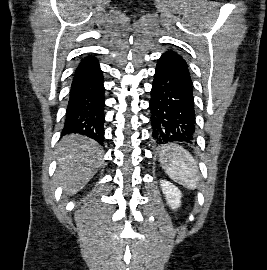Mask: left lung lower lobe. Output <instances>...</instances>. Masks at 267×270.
Returning a JSON list of instances; mask_svg holds the SVG:
<instances>
[{"label":"left lung lower lobe","mask_w":267,"mask_h":270,"mask_svg":"<svg viewBox=\"0 0 267 270\" xmlns=\"http://www.w3.org/2000/svg\"><path fill=\"white\" fill-rule=\"evenodd\" d=\"M149 108L157 145L194 140L192 81L187 63L175 51L163 53L157 62Z\"/></svg>","instance_id":"left-lung-lower-lobe-1"}]
</instances>
